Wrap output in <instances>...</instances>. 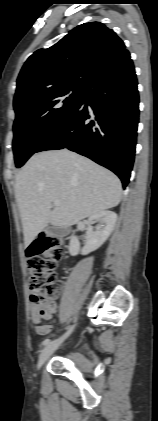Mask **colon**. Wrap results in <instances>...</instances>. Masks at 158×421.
I'll list each match as a JSON object with an SVG mask.
<instances>
[{"instance_id": "1", "label": "colon", "mask_w": 158, "mask_h": 421, "mask_svg": "<svg viewBox=\"0 0 158 421\" xmlns=\"http://www.w3.org/2000/svg\"><path fill=\"white\" fill-rule=\"evenodd\" d=\"M62 256L60 242L51 238L33 242L26 251L30 298L38 316L51 315L55 311L54 298L60 291L56 267Z\"/></svg>"}]
</instances>
